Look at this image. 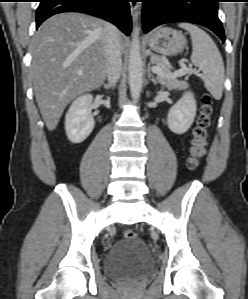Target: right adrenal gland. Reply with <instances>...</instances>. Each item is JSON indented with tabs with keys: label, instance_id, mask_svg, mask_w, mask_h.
<instances>
[{
	"label": "right adrenal gland",
	"instance_id": "right-adrenal-gland-1",
	"mask_svg": "<svg viewBox=\"0 0 248 299\" xmlns=\"http://www.w3.org/2000/svg\"><path fill=\"white\" fill-rule=\"evenodd\" d=\"M104 88L105 89H110L111 88V85L109 83H104Z\"/></svg>",
	"mask_w": 248,
	"mask_h": 299
}]
</instances>
